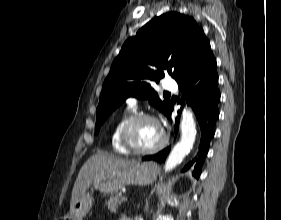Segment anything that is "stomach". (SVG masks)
Wrapping results in <instances>:
<instances>
[{"instance_id":"0dacf381","label":"stomach","mask_w":281,"mask_h":220,"mask_svg":"<svg viewBox=\"0 0 281 220\" xmlns=\"http://www.w3.org/2000/svg\"><path fill=\"white\" fill-rule=\"evenodd\" d=\"M156 173L157 168L151 163H136L125 169L103 173L92 182L91 191L85 192L63 219L83 220L92 208L94 190L108 194L126 185H148L153 181Z\"/></svg>"}]
</instances>
